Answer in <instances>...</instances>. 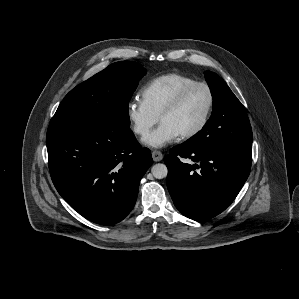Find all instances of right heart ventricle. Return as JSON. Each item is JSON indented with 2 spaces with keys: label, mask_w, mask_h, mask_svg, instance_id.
Instances as JSON below:
<instances>
[{
  "label": "right heart ventricle",
  "mask_w": 299,
  "mask_h": 299,
  "mask_svg": "<svg viewBox=\"0 0 299 299\" xmlns=\"http://www.w3.org/2000/svg\"><path fill=\"white\" fill-rule=\"evenodd\" d=\"M190 76L169 73L151 80L141 90L142 101L158 117L162 109L185 86L195 82Z\"/></svg>",
  "instance_id": "1"
}]
</instances>
